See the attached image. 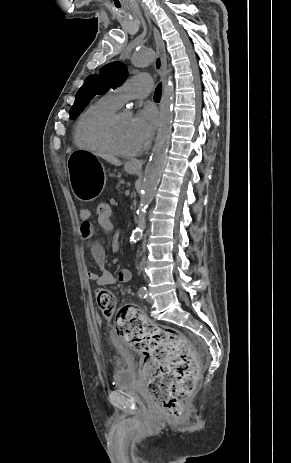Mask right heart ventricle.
Masks as SVG:
<instances>
[{"mask_svg":"<svg viewBox=\"0 0 291 463\" xmlns=\"http://www.w3.org/2000/svg\"><path fill=\"white\" fill-rule=\"evenodd\" d=\"M119 108L110 95L107 94L87 106L78 117L73 131L76 146L90 151H102L103 149L93 142L89 136V128L96 120L109 115Z\"/></svg>","mask_w":291,"mask_h":463,"instance_id":"e07e8e85","label":"right heart ventricle"}]
</instances>
